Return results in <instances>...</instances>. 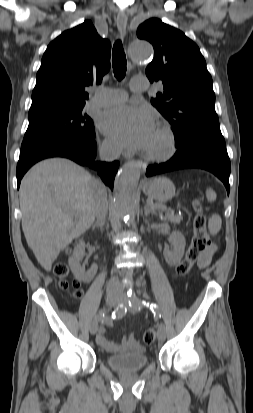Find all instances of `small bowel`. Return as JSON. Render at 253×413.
I'll return each mask as SVG.
<instances>
[{"instance_id": "c3829d8e", "label": "small bowel", "mask_w": 253, "mask_h": 413, "mask_svg": "<svg viewBox=\"0 0 253 413\" xmlns=\"http://www.w3.org/2000/svg\"><path fill=\"white\" fill-rule=\"evenodd\" d=\"M216 245L215 244H211L209 246V248L204 252V254L202 255L201 259L198 262V267L199 268H205L207 267L211 260L212 257L214 255V253L216 252ZM106 325H111L110 321H105ZM106 333V329L104 327H101L99 329L98 335L96 337L97 343L103 347L105 350H107L108 352H119V351H123V350H138L141 348L140 344L138 343V341L136 340L135 336L133 333H130L128 335H126L123 338L122 344L118 345L116 343H114L113 341H111L110 339H108L105 335Z\"/></svg>"}]
</instances>
